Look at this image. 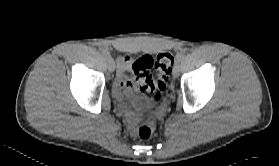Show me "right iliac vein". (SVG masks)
<instances>
[{
  "mask_svg": "<svg viewBox=\"0 0 279 166\" xmlns=\"http://www.w3.org/2000/svg\"><path fill=\"white\" fill-rule=\"evenodd\" d=\"M107 65H108L109 71L113 72L115 70V63L112 58L107 59Z\"/></svg>",
  "mask_w": 279,
  "mask_h": 166,
  "instance_id": "right-iliac-vein-1",
  "label": "right iliac vein"
}]
</instances>
